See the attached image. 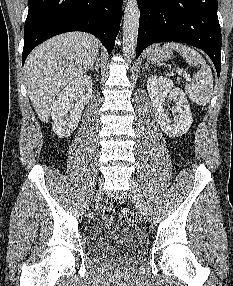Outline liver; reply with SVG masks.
Segmentation results:
<instances>
[{"label":"liver","mask_w":233,"mask_h":286,"mask_svg":"<svg viewBox=\"0 0 233 286\" xmlns=\"http://www.w3.org/2000/svg\"><path fill=\"white\" fill-rule=\"evenodd\" d=\"M98 49L99 41L93 35L69 32L31 52L25 63V79L32 105L42 121H48L61 88L93 66Z\"/></svg>","instance_id":"1"}]
</instances>
